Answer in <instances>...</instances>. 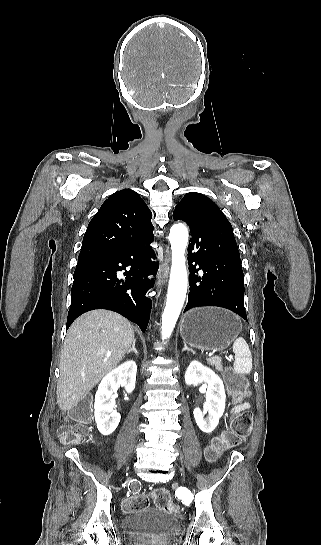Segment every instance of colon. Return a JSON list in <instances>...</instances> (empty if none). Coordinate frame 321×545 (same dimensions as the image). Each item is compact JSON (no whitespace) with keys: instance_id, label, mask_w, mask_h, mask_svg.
I'll return each instance as SVG.
<instances>
[{"instance_id":"colon-1","label":"colon","mask_w":321,"mask_h":545,"mask_svg":"<svg viewBox=\"0 0 321 545\" xmlns=\"http://www.w3.org/2000/svg\"><path fill=\"white\" fill-rule=\"evenodd\" d=\"M225 380L231 395L236 399H242L249 395L250 389L247 381L238 376L231 369L225 373ZM70 418L73 423L61 427L58 438L61 443L67 445H76L85 438L88 425L91 421V407L88 402H82L69 410ZM252 426V416L249 411H242L236 414L230 423V430L216 438L207 449V457L210 460L215 459L223 450L239 445L244 441ZM152 498L161 509L177 513V506L172 501L169 493L165 489H157L153 492ZM150 497L144 494L132 495L127 497L122 508L125 512H133L149 505Z\"/></svg>"}]
</instances>
